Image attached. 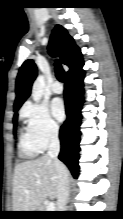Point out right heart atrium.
<instances>
[{"mask_svg":"<svg viewBox=\"0 0 123 219\" xmlns=\"http://www.w3.org/2000/svg\"><path fill=\"white\" fill-rule=\"evenodd\" d=\"M27 129L40 150H45L59 136V125L42 104L27 103L21 110Z\"/></svg>","mask_w":123,"mask_h":219,"instance_id":"obj_1","label":"right heart atrium"}]
</instances>
